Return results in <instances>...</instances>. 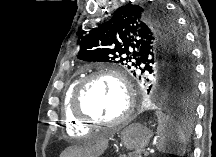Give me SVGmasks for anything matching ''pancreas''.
<instances>
[{"label":"pancreas","mask_w":216,"mask_h":157,"mask_svg":"<svg viewBox=\"0 0 216 157\" xmlns=\"http://www.w3.org/2000/svg\"><path fill=\"white\" fill-rule=\"evenodd\" d=\"M142 153H144V157H147L149 153L143 151V150H137L135 152H132L128 155V157H142Z\"/></svg>","instance_id":"1"}]
</instances>
